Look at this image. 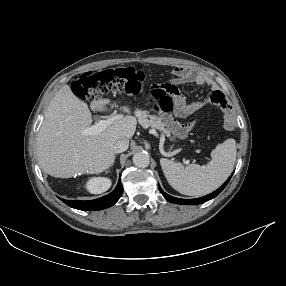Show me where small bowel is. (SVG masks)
Wrapping results in <instances>:
<instances>
[{
  "instance_id": "c3829d8e",
  "label": "small bowel",
  "mask_w": 286,
  "mask_h": 286,
  "mask_svg": "<svg viewBox=\"0 0 286 286\" xmlns=\"http://www.w3.org/2000/svg\"><path fill=\"white\" fill-rule=\"evenodd\" d=\"M172 73L174 75V78L172 80V84L170 85H172L177 91L174 95L176 116L180 118H187L207 104L216 105L224 110L228 108L225 96L216 89L210 92L203 99L186 102L185 98L182 96L177 86L189 83H194L200 86L206 84L211 85V80L204 72L194 70L186 66H178L173 69Z\"/></svg>"
}]
</instances>
